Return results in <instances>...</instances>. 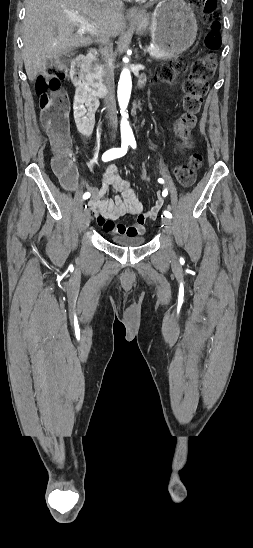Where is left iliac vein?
I'll use <instances>...</instances> for the list:
<instances>
[{"label":"left iliac vein","instance_id":"obj_1","mask_svg":"<svg viewBox=\"0 0 253 548\" xmlns=\"http://www.w3.org/2000/svg\"><path fill=\"white\" fill-rule=\"evenodd\" d=\"M162 223L164 224L165 232L168 235H172V232H173V223H172V221L169 218L164 217V218H162Z\"/></svg>","mask_w":253,"mask_h":548}]
</instances>
